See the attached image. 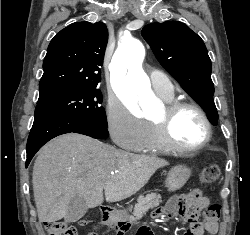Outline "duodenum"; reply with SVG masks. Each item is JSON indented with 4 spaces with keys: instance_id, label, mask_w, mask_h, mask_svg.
Wrapping results in <instances>:
<instances>
[{
    "instance_id": "1",
    "label": "duodenum",
    "mask_w": 250,
    "mask_h": 235,
    "mask_svg": "<svg viewBox=\"0 0 250 235\" xmlns=\"http://www.w3.org/2000/svg\"><path fill=\"white\" fill-rule=\"evenodd\" d=\"M101 213H102V217H103V223L106 225V227L111 230V231H115L117 230V234L119 235H124V223L123 222H119L118 220H116L115 218V213L112 209H110L107 206H102L101 207ZM145 234H151L148 232H144Z\"/></svg>"
}]
</instances>
